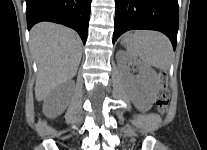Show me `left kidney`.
Instances as JSON below:
<instances>
[{
	"label": "left kidney",
	"instance_id": "obj_1",
	"mask_svg": "<svg viewBox=\"0 0 207 150\" xmlns=\"http://www.w3.org/2000/svg\"><path fill=\"white\" fill-rule=\"evenodd\" d=\"M117 60L121 68L127 93L132 103L138 110L148 111L156 98L158 85L156 72L147 64L124 51H119L117 53ZM127 65H134L139 69V76L137 79L129 74ZM136 84L141 86V91L136 89Z\"/></svg>",
	"mask_w": 207,
	"mask_h": 150
}]
</instances>
